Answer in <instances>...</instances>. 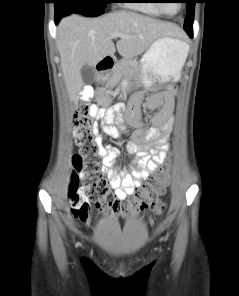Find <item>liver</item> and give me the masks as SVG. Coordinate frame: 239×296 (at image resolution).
<instances>
[{
    "label": "liver",
    "instance_id": "1",
    "mask_svg": "<svg viewBox=\"0 0 239 296\" xmlns=\"http://www.w3.org/2000/svg\"><path fill=\"white\" fill-rule=\"evenodd\" d=\"M119 37L118 53L125 59L142 54L156 39L182 36L177 25L131 11H117L99 18L72 14L61 20L57 29V48L61 58L64 82L71 99L77 97L84 81L81 69L94 67L104 57L116 51L112 33Z\"/></svg>",
    "mask_w": 239,
    "mask_h": 296
}]
</instances>
